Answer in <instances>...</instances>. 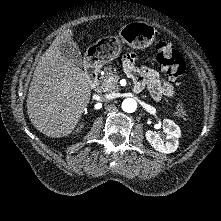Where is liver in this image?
I'll return each mask as SVG.
<instances>
[{
    "label": "liver",
    "instance_id": "liver-1",
    "mask_svg": "<svg viewBox=\"0 0 221 221\" xmlns=\"http://www.w3.org/2000/svg\"><path fill=\"white\" fill-rule=\"evenodd\" d=\"M72 35L73 31L68 29L54 39L35 68L27 95L31 123L49 137L69 135L91 97L84 71L64 57L59 49V45L68 44L79 51Z\"/></svg>",
    "mask_w": 221,
    "mask_h": 221
}]
</instances>
